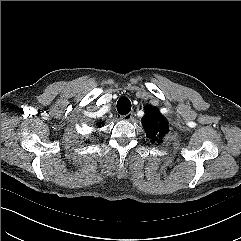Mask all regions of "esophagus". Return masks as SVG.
I'll return each mask as SVG.
<instances>
[{"label": "esophagus", "mask_w": 241, "mask_h": 241, "mask_svg": "<svg viewBox=\"0 0 241 241\" xmlns=\"http://www.w3.org/2000/svg\"><path fill=\"white\" fill-rule=\"evenodd\" d=\"M132 117H133V113L132 112H130V113L126 114V115L120 116L121 119L126 120V121L131 120Z\"/></svg>", "instance_id": "1"}]
</instances>
